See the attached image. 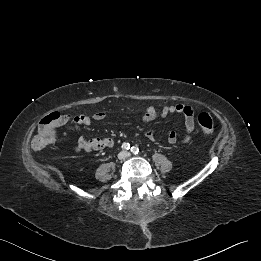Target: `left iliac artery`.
<instances>
[{"label":"left iliac artery","instance_id":"1","mask_svg":"<svg viewBox=\"0 0 261 261\" xmlns=\"http://www.w3.org/2000/svg\"><path fill=\"white\" fill-rule=\"evenodd\" d=\"M131 152H132L133 154H138V152H139V148L133 146V147L131 148Z\"/></svg>","mask_w":261,"mask_h":261}]
</instances>
